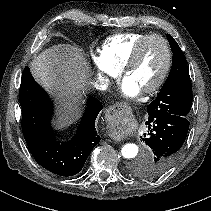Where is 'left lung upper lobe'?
Returning a JSON list of instances; mask_svg holds the SVG:
<instances>
[{"label": "left lung upper lobe", "mask_w": 211, "mask_h": 211, "mask_svg": "<svg viewBox=\"0 0 211 211\" xmlns=\"http://www.w3.org/2000/svg\"><path fill=\"white\" fill-rule=\"evenodd\" d=\"M173 52L172 67L158 96L148 108L149 117L170 113L188 118L192 106V86L185 56L177 42L167 34ZM139 173L146 176L144 168L137 166Z\"/></svg>", "instance_id": "5c2ea615"}]
</instances>
